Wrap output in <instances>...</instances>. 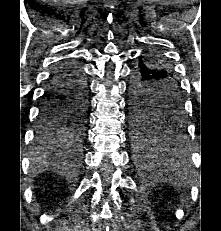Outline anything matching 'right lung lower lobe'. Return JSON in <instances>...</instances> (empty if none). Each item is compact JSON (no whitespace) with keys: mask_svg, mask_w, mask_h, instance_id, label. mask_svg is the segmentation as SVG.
I'll return each instance as SVG.
<instances>
[{"mask_svg":"<svg viewBox=\"0 0 221 231\" xmlns=\"http://www.w3.org/2000/svg\"><path fill=\"white\" fill-rule=\"evenodd\" d=\"M87 99V88L83 73L70 61L61 62L51 75L50 84L44 94L41 106V113L51 104H61L65 101ZM40 130L39 124L36 127V136ZM36 144L41 148H48L43 143Z\"/></svg>","mask_w":221,"mask_h":231,"instance_id":"right-lung-lower-lobe-1","label":"right lung lower lobe"}]
</instances>
